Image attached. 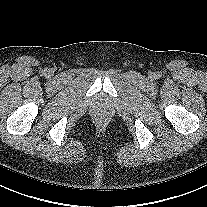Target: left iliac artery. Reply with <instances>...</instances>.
<instances>
[{
    "mask_svg": "<svg viewBox=\"0 0 207 207\" xmlns=\"http://www.w3.org/2000/svg\"><path fill=\"white\" fill-rule=\"evenodd\" d=\"M158 76L160 77V76H161V74L159 73V74H158Z\"/></svg>",
    "mask_w": 207,
    "mask_h": 207,
    "instance_id": "1",
    "label": "left iliac artery"
}]
</instances>
